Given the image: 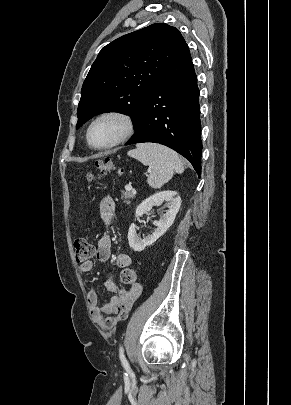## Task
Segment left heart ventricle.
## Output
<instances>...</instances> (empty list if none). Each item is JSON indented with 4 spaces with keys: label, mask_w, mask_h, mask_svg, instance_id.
I'll list each match as a JSON object with an SVG mask.
<instances>
[{
    "label": "left heart ventricle",
    "mask_w": 291,
    "mask_h": 405,
    "mask_svg": "<svg viewBox=\"0 0 291 405\" xmlns=\"http://www.w3.org/2000/svg\"><path fill=\"white\" fill-rule=\"evenodd\" d=\"M121 129L122 125L117 119H103L93 126L90 132V141L94 146L106 145L120 134Z\"/></svg>",
    "instance_id": "left-heart-ventricle-1"
}]
</instances>
